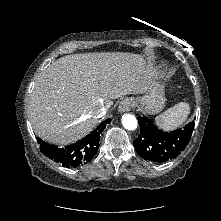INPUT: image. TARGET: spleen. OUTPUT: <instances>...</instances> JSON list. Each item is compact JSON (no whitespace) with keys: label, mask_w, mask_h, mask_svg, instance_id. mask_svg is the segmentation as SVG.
Here are the masks:
<instances>
[{"label":"spleen","mask_w":221,"mask_h":221,"mask_svg":"<svg viewBox=\"0 0 221 221\" xmlns=\"http://www.w3.org/2000/svg\"><path fill=\"white\" fill-rule=\"evenodd\" d=\"M189 113V104L187 102H179L157 116L155 118V123L159 128L171 131L182 125L186 121Z\"/></svg>","instance_id":"spleen-1"}]
</instances>
